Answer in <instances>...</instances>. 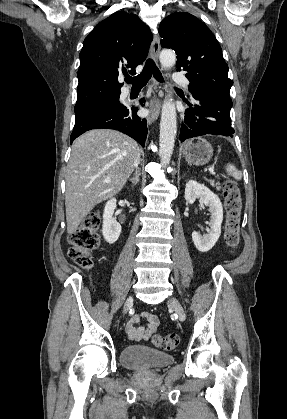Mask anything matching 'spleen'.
<instances>
[{"instance_id": "3e777b00", "label": "spleen", "mask_w": 287, "mask_h": 419, "mask_svg": "<svg viewBox=\"0 0 287 419\" xmlns=\"http://www.w3.org/2000/svg\"><path fill=\"white\" fill-rule=\"evenodd\" d=\"M226 171L228 175L232 176L236 180H241L242 173L239 170H237V168L233 164H228L226 166Z\"/></svg>"}]
</instances>
